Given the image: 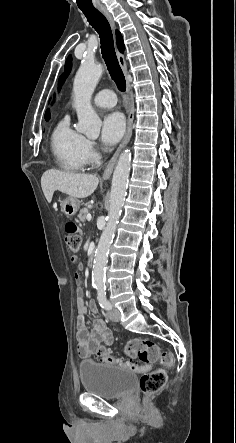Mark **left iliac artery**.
I'll return each instance as SVG.
<instances>
[{"label": "left iliac artery", "instance_id": "left-iliac-artery-1", "mask_svg": "<svg viewBox=\"0 0 236 443\" xmlns=\"http://www.w3.org/2000/svg\"><path fill=\"white\" fill-rule=\"evenodd\" d=\"M97 289V299L99 301L100 306L105 310H110L112 308L111 303L108 301L106 297V287L105 286H98Z\"/></svg>", "mask_w": 236, "mask_h": 443}]
</instances>
